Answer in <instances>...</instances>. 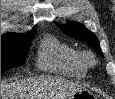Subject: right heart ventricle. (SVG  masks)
<instances>
[{
	"instance_id": "1",
	"label": "right heart ventricle",
	"mask_w": 115,
	"mask_h": 99,
	"mask_svg": "<svg viewBox=\"0 0 115 99\" xmlns=\"http://www.w3.org/2000/svg\"><path fill=\"white\" fill-rule=\"evenodd\" d=\"M37 67L46 72L82 78L87 73L84 55L54 36L45 37L38 49Z\"/></svg>"
}]
</instances>
